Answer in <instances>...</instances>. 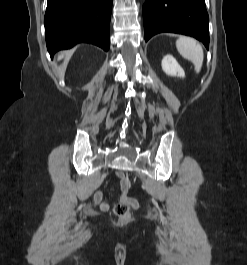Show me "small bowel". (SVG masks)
Segmentation results:
<instances>
[{
  "label": "small bowel",
  "mask_w": 247,
  "mask_h": 265,
  "mask_svg": "<svg viewBox=\"0 0 247 265\" xmlns=\"http://www.w3.org/2000/svg\"><path fill=\"white\" fill-rule=\"evenodd\" d=\"M121 201H127L130 205H132L134 208L137 207V202L131 198L128 197L127 192L123 191L120 195ZM94 201L96 204L100 206V208L104 211L108 210L110 208V204L104 200L103 193L101 191H97L94 194Z\"/></svg>",
  "instance_id": "small-bowel-1"
}]
</instances>
